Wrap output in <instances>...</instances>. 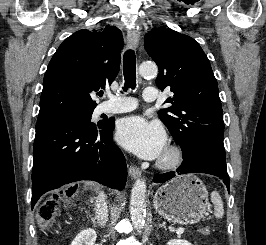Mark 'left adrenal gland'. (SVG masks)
Instances as JSON below:
<instances>
[{
	"instance_id": "left-adrenal-gland-1",
	"label": "left adrenal gland",
	"mask_w": 266,
	"mask_h": 245,
	"mask_svg": "<svg viewBox=\"0 0 266 245\" xmlns=\"http://www.w3.org/2000/svg\"><path fill=\"white\" fill-rule=\"evenodd\" d=\"M159 227H164L165 231H167V229L165 227V223H162V225H159Z\"/></svg>"
}]
</instances>
